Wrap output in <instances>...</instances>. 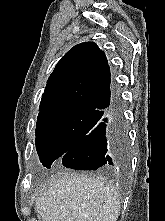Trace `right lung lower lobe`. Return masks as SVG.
I'll list each match as a JSON object with an SVG mask.
<instances>
[{
  "instance_id": "98d812e1",
  "label": "right lung lower lobe",
  "mask_w": 165,
  "mask_h": 221,
  "mask_svg": "<svg viewBox=\"0 0 165 221\" xmlns=\"http://www.w3.org/2000/svg\"><path fill=\"white\" fill-rule=\"evenodd\" d=\"M119 92L100 111L96 125L62 156V164L75 170L106 169L121 172L127 162V135Z\"/></svg>"
}]
</instances>
